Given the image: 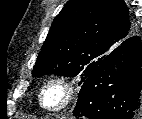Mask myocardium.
Wrapping results in <instances>:
<instances>
[{
    "mask_svg": "<svg viewBox=\"0 0 142 119\" xmlns=\"http://www.w3.org/2000/svg\"><path fill=\"white\" fill-rule=\"evenodd\" d=\"M57 88L61 92L60 99L54 104H48L45 100L47 92ZM76 94L75 84L65 76L51 77L41 88L38 96L39 105L48 112H60L68 108Z\"/></svg>",
    "mask_w": 142,
    "mask_h": 119,
    "instance_id": "myocardium-1",
    "label": "myocardium"
}]
</instances>
